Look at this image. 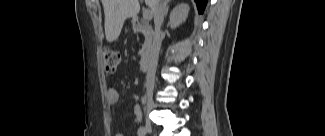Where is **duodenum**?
<instances>
[{
  "label": "duodenum",
  "mask_w": 325,
  "mask_h": 136,
  "mask_svg": "<svg viewBox=\"0 0 325 136\" xmlns=\"http://www.w3.org/2000/svg\"><path fill=\"white\" fill-rule=\"evenodd\" d=\"M135 29L141 31L145 35L143 46V55L140 60V69L145 70L148 68L151 55L154 51L155 41L151 26L144 21H135Z\"/></svg>",
  "instance_id": "duodenum-1"
}]
</instances>
